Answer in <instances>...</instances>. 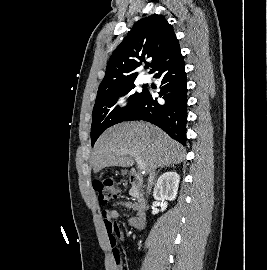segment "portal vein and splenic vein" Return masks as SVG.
<instances>
[{
	"label": "portal vein and splenic vein",
	"instance_id": "18ae733b",
	"mask_svg": "<svg viewBox=\"0 0 267 270\" xmlns=\"http://www.w3.org/2000/svg\"><path fill=\"white\" fill-rule=\"evenodd\" d=\"M135 160L138 164V167L140 168V170H144L145 169V163L144 161L139 157V156H135Z\"/></svg>",
	"mask_w": 267,
	"mask_h": 270
}]
</instances>
